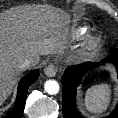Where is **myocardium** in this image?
<instances>
[{"label":"myocardium","mask_w":118,"mask_h":118,"mask_svg":"<svg viewBox=\"0 0 118 118\" xmlns=\"http://www.w3.org/2000/svg\"><path fill=\"white\" fill-rule=\"evenodd\" d=\"M101 41L96 36H90L86 39L84 43V51L86 53L95 52L100 47Z\"/></svg>","instance_id":"f54148a6"}]
</instances>
